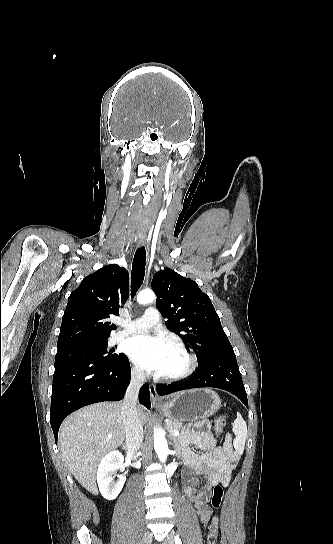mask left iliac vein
Masks as SVG:
<instances>
[{
	"label": "left iliac vein",
	"instance_id": "4c4485c4",
	"mask_svg": "<svg viewBox=\"0 0 333 544\" xmlns=\"http://www.w3.org/2000/svg\"><path fill=\"white\" fill-rule=\"evenodd\" d=\"M165 544H175V538L173 533H169L168 536L164 540Z\"/></svg>",
	"mask_w": 333,
	"mask_h": 544
}]
</instances>
